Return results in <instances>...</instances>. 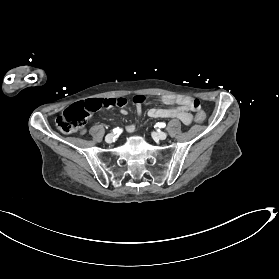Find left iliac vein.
Masks as SVG:
<instances>
[{"instance_id": "1", "label": "left iliac vein", "mask_w": 279, "mask_h": 279, "mask_svg": "<svg viewBox=\"0 0 279 279\" xmlns=\"http://www.w3.org/2000/svg\"><path fill=\"white\" fill-rule=\"evenodd\" d=\"M152 135L159 140H165L167 138V134L165 132H154Z\"/></svg>"}]
</instances>
